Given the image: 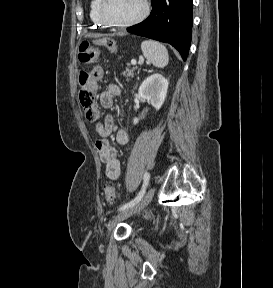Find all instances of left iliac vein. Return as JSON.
Returning a JSON list of instances; mask_svg holds the SVG:
<instances>
[{"instance_id":"4c4485c4","label":"left iliac vein","mask_w":273,"mask_h":288,"mask_svg":"<svg viewBox=\"0 0 273 288\" xmlns=\"http://www.w3.org/2000/svg\"><path fill=\"white\" fill-rule=\"evenodd\" d=\"M153 196L154 189L151 188L137 204L121 211L118 215H116L108 225V234H110V232L119 222L144 209L151 202Z\"/></svg>"}]
</instances>
